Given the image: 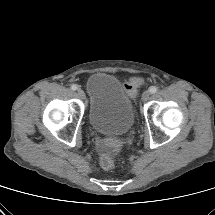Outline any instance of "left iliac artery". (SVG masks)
<instances>
[{"instance_id": "obj_1", "label": "left iliac artery", "mask_w": 215, "mask_h": 215, "mask_svg": "<svg viewBox=\"0 0 215 215\" xmlns=\"http://www.w3.org/2000/svg\"><path fill=\"white\" fill-rule=\"evenodd\" d=\"M157 87H155V86H152V87H150V89H149V91H150V93H155V92H157Z\"/></svg>"}]
</instances>
